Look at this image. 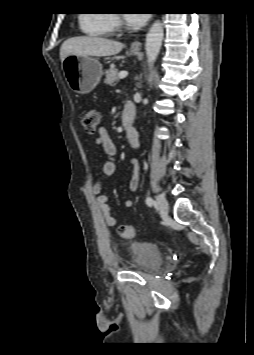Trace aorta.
I'll use <instances>...</instances> for the list:
<instances>
[{"instance_id": "obj_1", "label": "aorta", "mask_w": 254, "mask_h": 355, "mask_svg": "<svg viewBox=\"0 0 254 355\" xmlns=\"http://www.w3.org/2000/svg\"><path fill=\"white\" fill-rule=\"evenodd\" d=\"M164 30L160 21H155L151 26L145 43V50L149 64H153L157 59L162 45Z\"/></svg>"}]
</instances>
